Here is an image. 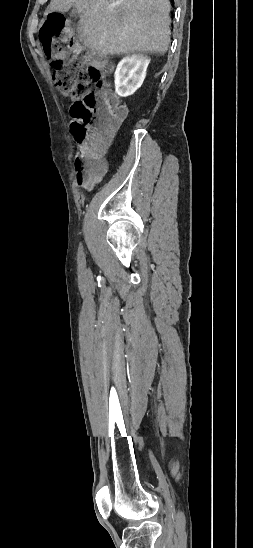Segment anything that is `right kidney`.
I'll use <instances>...</instances> for the list:
<instances>
[{
  "mask_svg": "<svg viewBox=\"0 0 253 548\" xmlns=\"http://www.w3.org/2000/svg\"><path fill=\"white\" fill-rule=\"evenodd\" d=\"M150 59L142 54L124 57L115 71V91L120 97L132 95L141 87L146 77Z\"/></svg>",
  "mask_w": 253,
  "mask_h": 548,
  "instance_id": "right-kidney-1",
  "label": "right kidney"
}]
</instances>
